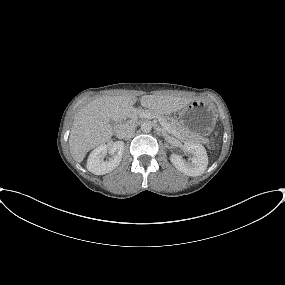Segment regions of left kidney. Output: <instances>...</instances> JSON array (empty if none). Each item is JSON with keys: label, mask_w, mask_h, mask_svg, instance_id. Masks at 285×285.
I'll list each match as a JSON object with an SVG mask.
<instances>
[{"label": "left kidney", "mask_w": 285, "mask_h": 285, "mask_svg": "<svg viewBox=\"0 0 285 285\" xmlns=\"http://www.w3.org/2000/svg\"><path fill=\"white\" fill-rule=\"evenodd\" d=\"M184 149L193 153L191 161L185 162L181 156L173 154L170 157L172 164L176 169L188 176L202 175L208 165V156L204 146L198 143L187 142L184 144Z\"/></svg>", "instance_id": "5707ae66"}]
</instances>
